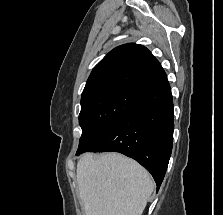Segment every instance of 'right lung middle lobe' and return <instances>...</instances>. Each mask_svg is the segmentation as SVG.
Masks as SVG:
<instances>
[{
    "instance_id": "right-lung-middle-lobe-1",
    "label": "right lung middle lobe",
    "mask_w": 223,
    "mask_h": 215,
    "mask_svg": "<svg viewBox=\"0 0 223 215\" xmlns=\"http://www.w3.org/2000/svg\"><path fill=\"white\" fill-rule=\"evenodd\" d=\"M143 96L127 90L97 95L81 103L79 124L82 135L76 155L94 146Z\"/></svg>"
}]
</instances>
